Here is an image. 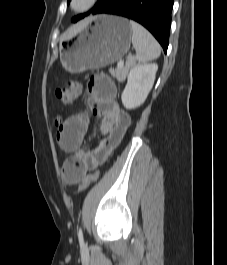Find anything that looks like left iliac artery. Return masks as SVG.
Listing matches in <instances>:
<instances>
[{
    "label": "left iliac artery",
    "mask_w": 227,
    "mask_h": 265,
    "mask_svg": "<svg viewBox=\"0 0 227 265\" xmlns=\"http://www.w3.org/2000/svg\"><path fill=\"white\" fill-rule=\"evenodd\" d=\"M78 238H79L80 243L82 244L83 243V233H82L81 228L78 231Z\"/></svg>",
    "instance_id": "obj_1"
}]
</instances>
